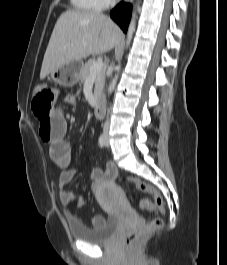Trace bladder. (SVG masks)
I'll return each instance as SVG.
<instances>
[{
	"instance_id": "31cf9c89",
	"label": "bladder",
	"mask_w": 227,
	"mask_h": 265,
	"mask_svg": "<svg viewBox=\"0 0 227 265\" xmlns=\"http://www.w3.org/2000/svg\"><path fill=\"white\" fill-rule=\"evenodd\" d=\"M113 189L118 196L123 197V192L119 186H113ZM119 224V217L111 215L97 226L86 227L78 223L69 222L68 228L72 238L98 244L111 238L117 231Z\"/></svg>"
}]
</instances>
